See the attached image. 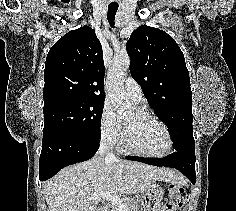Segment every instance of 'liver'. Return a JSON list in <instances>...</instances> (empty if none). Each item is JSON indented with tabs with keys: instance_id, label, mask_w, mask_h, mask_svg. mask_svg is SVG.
<instances>
[{
	"instance_id": "liver-1",
	"label": "liver",
	"mask_w": 236,
	"mask_h": 211,
	"mask_svg": "<svg viewBox=\"0 0 236 211\" xmlns=\"http://www.w3.org/2000/svg\"><path fill=\"white\" fill-rule=\"evenodd\" d=\"M156 181L180 183L175 171L122 159L94 157L60 170L43 187L48 211H109L99 200L102 193L117 196L141 193Z\"/></svg>"
}]
</instances>
